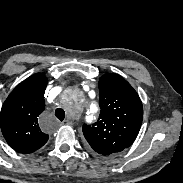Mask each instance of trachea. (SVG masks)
I'll use <instances>...</instances> for the list:
<instances>
[{"label": "trachea", "mask_w": 183, "mask_h": 183, "mask_svg": "<svg viewBox=\"0 0 183 183\" xmlns=\"http://www.w3.org/2000/svg\"><path fill=\"white\" fill-rule=\"evenodd\" d=\"M55 115L56 117L60 120L63 121L65 118V111L62 108H57L55 110Z\"/></svg>", "instance_id": "1"}]
</instances>
